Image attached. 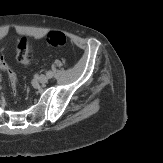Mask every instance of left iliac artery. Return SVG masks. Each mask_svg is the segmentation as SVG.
Returning a JSON list of instances; mask_svg holds the SVG:
<instances>
[{
    "label": "left iliac artery",
    "mask_w": 163,
    "mask_h": 163,
    "mask_svg": "<svg viewBox=\"0 0 163 163\" xmlns=\"http://www.w3.org/2000/svg\"><path fill=\"white\" fill-rule=\"evenodd\" d=\"M46 75L48 76V78H52L53 77V73L51 71H47Z\"/></svg>",
    "instance_id": "left-iliac-artery-1"
}]
</instances>
